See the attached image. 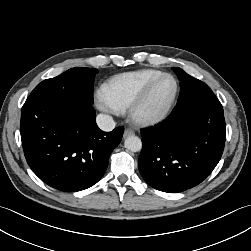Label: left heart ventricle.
<instances>
[{
  "label": "left heart ventricle",
  "mask_w": 251,
  "mask_h": 251,
  "mask_svg": "<svg viewBox=\"0 0 251 251\" xmlns=\"http://www.w3.org/2000/svg\"><path fill=\"white\" fill-rule=\"evenodd\" d=\"M174 89L175 84L171 78L161 80L152 90L142 112L144 114H155L159 112L170 100Z\"/></svg>",
  "instance_id": "left-heart-ventricle-1"
}]
</instances>
